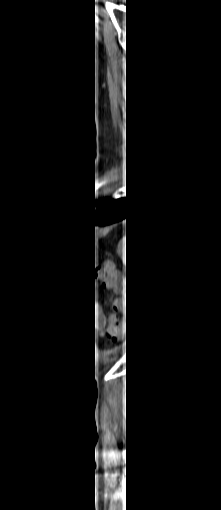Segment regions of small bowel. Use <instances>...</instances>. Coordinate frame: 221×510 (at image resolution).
<instances>
[{"label": "small bowel", "mask_w": 221, "mask_h": 510, "mask_svg": "<svg viewBox=\"0 0 221 510\" xmlns=\"http://www.w3.org/2000/svg\"><path fill=\"white\" fill-rule=\"evenodd\" d=\"M96 305V309H98L99 307V314L96 312V318L94 319V324L96 325V329L99 331V332H104V325H105V316L103 314V312H100V303H99V300H96L94 301V306Z\"/></svg>", "instance_id": "obj_1"}]
</instances>
